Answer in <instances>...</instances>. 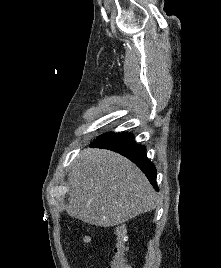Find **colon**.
Listing matches in <instances>:
<instances>
[{"label": "colon", "instance_id": "obj_1", "mask_svg": "<svg viewBox=\"0 0 221 268\" xmlns=\"http://www.w3.org/2000/svg\"><path fill=\"white\" fill-rule=\"evenodd\" d=\"M115 235L117 239L116 248L114 250L115 255L113 261L109 268H127L128 263L126 261V244H127V231L126 228L122 225L117 226L115 228ZM83 241L88 243L90 242L91 238L88 235L83 236Z\"/></svg>", "mask_w": 221, "mask_h": 268}]
</instances>
